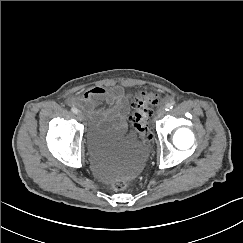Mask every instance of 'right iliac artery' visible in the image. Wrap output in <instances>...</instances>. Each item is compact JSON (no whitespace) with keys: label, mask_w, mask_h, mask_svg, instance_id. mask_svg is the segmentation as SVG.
Wrapping results in <instances>:
<instances>
[{"label":"right iliac artery","mask_w":243,"mask_h":243,"mask_svg":"<svg viewBox=\"0 0 243 243\" xmlns=\"http://www.w3.org/2000/svg\"><path fill=\"white\" fill-rule=\"evenodd\" d=\"M72 112L75 113V114H77L78 113V109L76 107H73L72 108Z\"/></svg>","instance_id":"1"}]
</instances>
